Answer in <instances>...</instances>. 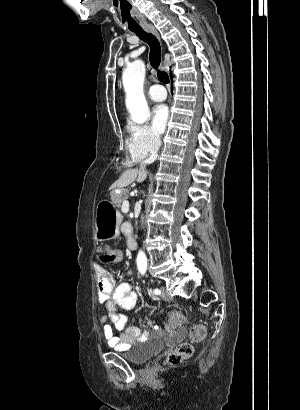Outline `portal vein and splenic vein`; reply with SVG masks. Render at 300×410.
Here are the masks:
<instances>
[{"label": "portal vein and splenic vein", "instance_id": "1", "mask_svg": "<svg viewBox=\"0 0 300 410\" xmlns=\"http://www.w3.org/2000/svg\"><path fill=\"white\" fill-rule=\"evenodd\" d=\"M122 211L128 212L129 211V202L127 200L123 201L122 203Z\"/></svg>", "mask_w": 300, "mask_h": 410}]
</instances>
